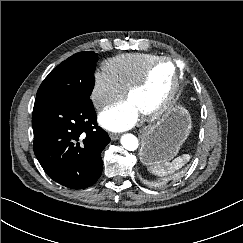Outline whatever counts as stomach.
<instances>
[{
  "label": "stomach",
  "instance_id": "obj_1",
  "mask_svg": "<svg viewBox=\"0 0 243 243\" xmlns=\"http://www.w3.org/2000/svg\"><path fill=\"white\" fill-rule=\"evenodd\" d=\"M191 127V117L185 108H170L155 123L142 130L141 162L153 166L173 159L187 139Z\"/></svg>",
  "mask_w": 243,
  "mask_h": 243
}]
</instances>
